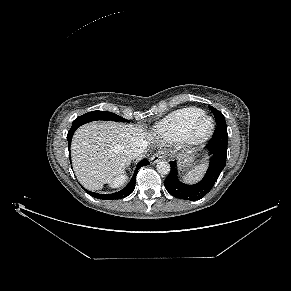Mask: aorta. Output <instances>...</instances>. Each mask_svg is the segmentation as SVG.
Here are the masks:
<instances>
[{"label":"aorta","instance_id":"1","mask_svg":"<svg viewBox=\"0 0 291 291\" xmlns=\"http://www.w3.org/2000/svg\"><path fill=\"white\" fill-rule=\"evenodd\" d=\"M160 174L167 175L170 172V164L167 161H159L156 165Z\"/></svg>","mask_w":291,"mask_h":291}]
</instances>
